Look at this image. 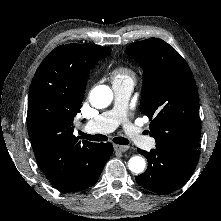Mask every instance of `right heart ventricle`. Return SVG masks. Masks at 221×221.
Listing matches in <instances>:
<instances>
[{
  "mask_svg": "<svg viewBox=\"0 0 221 221\" xmlns=\"http://www.w3.org/2000/svg\"><path fill=\"white\" fill-rule=\"evenodd\" d=\"M113 83L132 82L135 80V72L129 66H118L111 73Z\"/></svg>",
  "mask_w": 221,
  "mask_h": 221,
  "instance_id": "obj_1",
  "label": "right heart ventricle"
}]
</instances>
